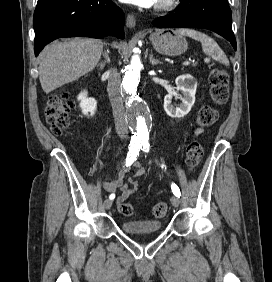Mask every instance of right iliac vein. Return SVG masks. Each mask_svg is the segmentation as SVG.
Instances as JSON below:
<instances>
[{"instance_id":"obj_1","label":"right iliac vein","mask_w":272,"mask_h":282,"mask_svg":"<svg viewBox=\"0 0 272 282\" xmlns=\"http://www.w3.org/2000/svg\"><path fill=\"white\" fill-rule=\"evenodd\" d=\"M112 203H113V202H112L111 199H106V200L104 201V207L108 210V209L111 208Z\"/></svg>"}]
</instances>
